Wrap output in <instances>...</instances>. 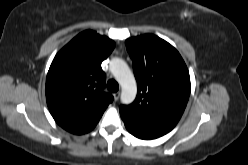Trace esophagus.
I'll return each instance as SVG.
<instances>
[{
  "mask_svg": "<svg viewBox=\"0 0 248 165\" xmlns=\"http://www.w3.org/2000/svg\"><path fill=\"white\" fill-rule=\"evenodd\" d=\"M120 94H121L120 91L114 93V99H115L116 101L119 99Z\"/></svg>",
  "mask_w": 248,
  "mask_h": 165,
  "instance_id": "34e87169",
  "label": "esophagus"
}]
</instances>
